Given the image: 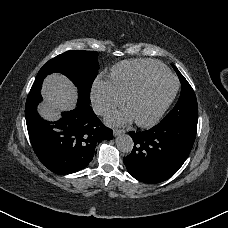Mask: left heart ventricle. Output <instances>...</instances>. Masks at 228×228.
I'll use <instances>...</instances> for the list:
<instances>
[{"label":"left heart ventricle","mask_w":228,"mask_h":228,"mask_svg":"<svg viewBox=\"0 0 228 228\" xmlns=\"http://www.w3.org/2000/svg\"><path fill=\"white\" fill-rule=\"evenodd\" d=\"M173 87L174 83L170 79L156 81L131 101L129 105L130 112L137 120H150L167 99Z\"/></svg>","instance_id":"b2bd125f"}]
</instances>
